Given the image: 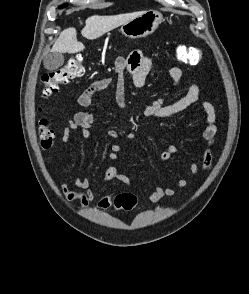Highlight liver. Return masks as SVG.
<instances>
[{
    "instance_id": "1",
    "label": "liver",
    "mask_w": 249,
    "mask_h": 294,
    "mask_svg": "<svg viewBox=\"0 0 249 294\" xmlns=\"http://www.w3.org/2000/svg\"><path fill=\"white\" fill-rule=\"evenodd\" d=\"M144 12L145 11H139L113 16H91L86 19V25L82 29L81 34L83 37L90 40L97 39L105 33L139 17ZM84 49L85 46L83 43L77 41L76 29L68 28L61 32L51 51L59 53H77Z\"/></svg>"
}]
</instances>
